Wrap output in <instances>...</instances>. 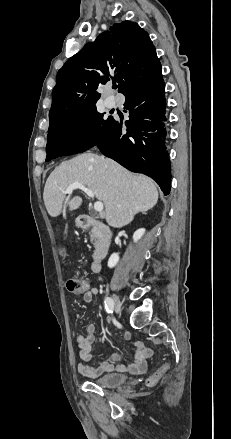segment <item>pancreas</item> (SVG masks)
<instances>
[{
  "label": "pancreas",
  "mask_w": 231,
  "mask_h": 439,
  "mask_svg": "<svg viewBox=\"0 0 231 439\" xmlns=\"http://www.w3.org/2000/svg\"><path fill=\"white\" fill-rule=\"evenodd\" d=\"M91 242L95 247L99 246L102 242V233L99 230H92L90 234Z\"/></svg>",
  "instance_id": "pancreas-1"
}]
</instances>
